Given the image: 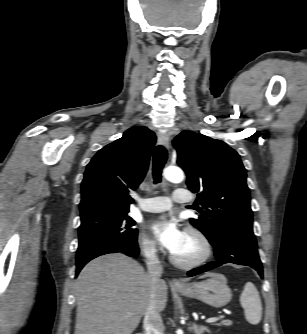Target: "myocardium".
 <instances>
[{"instance_id":"myocardium-1","label":"myocardium","mask_w":307,"mask_h":334,"mask_svg":"<svg viewBox=\"0 0 307 334\" xmlns=\"http://www.w3.org/2000/svg\"><path fill=\"white\" fill-rule=\"evenodd\" d=\"M185 233L193 235L199 241L201 248L200 254L193 259L182 260L171 253L170 260L177 267L190 269L202 265L210 258L212 254V245L205 233L194 226H188L185 229Z\"/></svg>"}]
</instances>
